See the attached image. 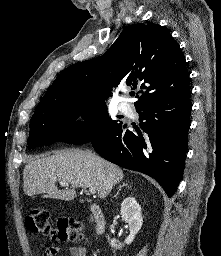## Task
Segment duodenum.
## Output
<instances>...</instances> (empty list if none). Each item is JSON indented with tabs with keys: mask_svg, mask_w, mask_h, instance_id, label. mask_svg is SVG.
Here are the masks:
<instances>
[{
	"mask_svg": "<svg viewBox=\"0 0 221 256\" xmlns=\"http://www.w3.org/2000/svg\"><path fill=\"white\" fill-rule=\"evenodd\" d=\"M90 212L94 224V231L97 235H102L105 232L106 221L102 209L96 205H90Z\"/></svg>",
	"mask_w": 221,
	"mask_h": 256,
	"instance_id": "obj_1",
	"label": "duodenum"
}]
</instances>
